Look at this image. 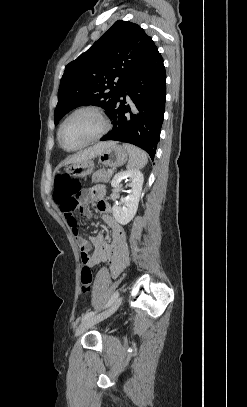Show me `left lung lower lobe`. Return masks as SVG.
Returning a JSON list of instances; mask_svg holds the SVG:
<instances>
[{
  "label": "left lung lower lobe",
  "instance_id": "1",
  "mask_svg": "<svg viewBox=\"0 0 247 407\" xmlns=\"http://www.w3.org/2000/svg\"><path fill=\"white\" fill-rule=\"evenodd\" d=\"M133 102L126 105L125 95ZM166 100V74L156 49L145 65L127 82L109 116L112 130L101 140L122 141L145 150L154 159L160 139Z\"/></svg>",
  "mask_w": 247,
  "mask_h": 407
}]
</instances>
